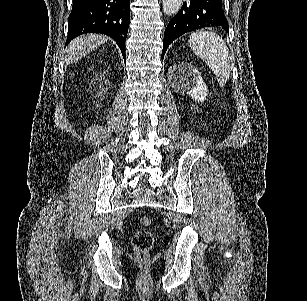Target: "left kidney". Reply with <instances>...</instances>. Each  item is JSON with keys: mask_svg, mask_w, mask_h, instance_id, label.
Returning <instances> with one entry per match:
<instances>
[{"mask_svg": "<svg viewBox=\"0 0 307 301\" xmlns=\"http://www.w3.org/2000/svg\"><path fill=\"white\" fill-rule=\"evenodd\" d=\"M175 82L173 86H177L178 90L190 94L194 100L203 102L208 96L207 86L197 68L190 64V62H179L173 64ZM173 76V74H171Z\"/></svg>", "mask_w": 307, "mask_h": 301, "instance_id": "obj_1", "label": "left kidney"}]
</instances>
